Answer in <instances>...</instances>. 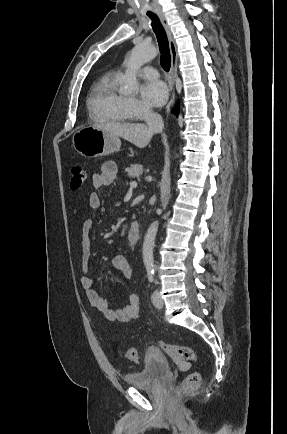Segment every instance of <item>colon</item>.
I'll return each instance as SVG.
<instances>
[{"mask_svg": "<svg viewBox=\"0 0 287 434\" xmlns=\"http://www.w3.org/2000/svg\"><path fill=\"white\" fill-rule=\"evenodd\" d=\"M71 188L79 189L87 179V172L84 166L77 164L74 165L71 170ZM160 348L168 355L176 360L188 362L190 364L196 363V356L194 352L188 347L176 346L165 342L159 343ZM126 358L131 362L138 361V350L135 347H130L126 351ZM201 381V375L197 371L190 372L177 387L175 391V397L181 398L186 393L194 390Z\"/></svg>", "mask_w": 287, "mask_h": 434, "instance_id": "5ec220e1", "label": "colon"}]
</instances>
